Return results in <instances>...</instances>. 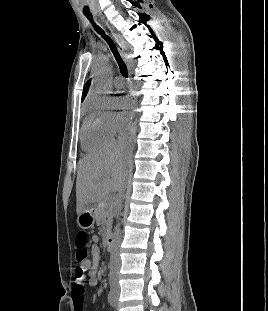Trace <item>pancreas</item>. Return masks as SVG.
Returning <instances> with one entry per match:
<instances>
[{
    "instance_id": "1",
    "label": "pancreas",
    "mask_w": 268,
    "mask_h": 311,
    "mask_svg": "<svg viewBox=\"0 0 268 311\" xmlns=\"http://www.w3.org/2000/svg\"><path fill=\"white\" fill-rule=\"evenodd\" d=\"M114 206V201L110 199H103L98 203L95 219L97 225L102 227L104 235L111 229Z\"/></svg>"
}]
</instances>
